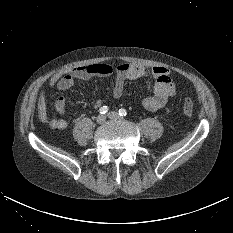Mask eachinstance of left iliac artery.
Masks as SVG:
<instances>
[{
    "label": "left iliac artery",
    "instance_id": "44dca946",
    "mask_svg": "<svg viewBox=\"0 0 233 233\" xmlns=\"http://www.w3.org/2000/svg\"><path fill=\"white\" fill-rule=\"evenodd\" d=\"M126 114H127V112H126L125 109H123V108L119 109V115L120 116H126Z\"/></svg>",
    "mask_w": 233,
    "mask_h": 233
}]
</instances>
